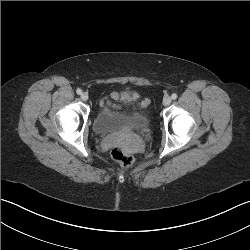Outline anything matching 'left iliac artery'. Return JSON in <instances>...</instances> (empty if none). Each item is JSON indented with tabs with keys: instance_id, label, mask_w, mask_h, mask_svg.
<instances>
[{
	"instance_id": "left-iliac-artery-1",
	"label": "left iliac artery",
	"mask_w": 250,
	"mask_h": 250,
	"mask_svg": "<svg viewBox=\"0 0 250 250\" xmlns=\"http://www.w3.org/2000/svg\"><path fill=\"white\" fill-rule=\"evenodd\" d=\"M171 98H172L173 100H175V99L177 98V94H176V93H173V94L171 95Z\"/></svg>"
}]
</instances>
